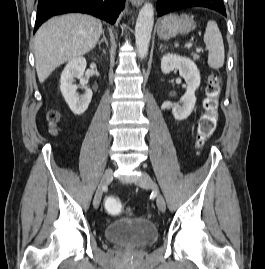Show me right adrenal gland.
Segmentation results:
<instances>
[{"mask_svg":"<svg viewBox=\"0 0 265 269\" xmlns=\"http://www.w3.org/2000/svg\"><path fill=\"white\" fill-rule=\"evenodd\" d=\"M102 39H100V41L98 42V45L100 46L101 45V43H105L107 46H108V41H107V39H106V37H105V32L103 31L102 32Z\"/></svg>","mask_w":265,"mask_h":269,"instance_id":"obj_1","label":"right adrenal gland"}]
</instances>
